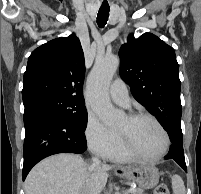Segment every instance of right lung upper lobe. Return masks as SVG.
<instances>
[{
    "label": "right lung upper lobe",
    "mask_w": 201,
    "mask_h": 194,
    "mask_svg": "<svg viewBox=\"0 0 201 194\" xmlns=\"http://www.w3.org/2000/svg\"><path fill=\"white\" fill-rule=\"evenodd\" d=\"M84 54L75 35L51 40L35 49L24 73L22 97L26 103L40 96L84 101Z\"/></svg>",
    "instance_id": "obj_1"
}]
</instances>
